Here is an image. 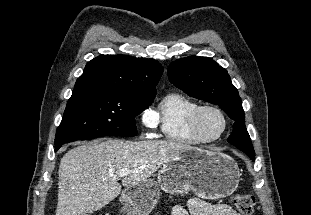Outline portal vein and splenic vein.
I'll use <instances>...</instances> for the list:
<instances>
[{
  "label": "portal vein and splenic vein",
  "mask_w": 311,
  "mask_h": 215,
  "mask_svg": "<svg viewBox=\"0 0 311 215\" xmlns=\"http://www.w3.org/2000/svg\"><path fill=\"white\" fill-rule=\"evenodd\" d=\"M138 170H129V169H123V170H121L120 172H119V177H125V176H128L129 174H131V173H135V172H137Z\"/></svg>",
  "instance_id": "portal-vein-and-splenic-vein-1"
}]
</instances>
